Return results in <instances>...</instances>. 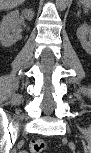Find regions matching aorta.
Instances as JSON below:
<instances>
[{"instance_id": "obj_1", "label": "aorta", "mask_w": 91, "mask_h": 153, "mask_svg": "<svg viewBox=\"0 0 91 153\" xmlns=\"http://www.w3.org/2000/svg\"><path fill=\"white\" fill-rule=\"evenodd\" d=\"M69 0H56L57 8L61 11L65 10L68 6Z\"/></svg>"}]
</instances>
